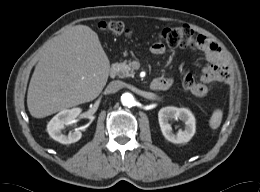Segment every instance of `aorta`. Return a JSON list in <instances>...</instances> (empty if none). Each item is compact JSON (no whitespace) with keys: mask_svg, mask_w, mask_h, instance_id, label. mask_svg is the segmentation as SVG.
Returning <instances> with one entry per match:
<instances>
[{"mask_svg":"<svg viewBox=\"0 0 260 192\" xmlns=\"http://www.w3.org/2000/svg\"><path fill=\"white\" fill-rule=\"evenodd\" d=\"M134 102L135 99L131 93L126 92L121 95V103L123 106L131 107Z\"/></svg>","mask_w":260,"mask_h":192,"instance_id":"762f6f07","label":"aorta"}]
</instances>
